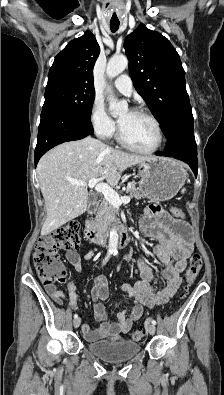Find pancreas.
<instances>
[{"label": "pancreas", "mask_w": 224, "mask_h": 395, "mask_svg": "<svg viewBox=\"0 0 224 395\" xmlns=\"http://www.w3.org/2000/svg\"><path fill=\"white\" fill-rule=\"evenodd\" d=\"M125 192L129 194V197L135 198L136 200H139L143 197L134 184H131L130 187L126 188ZM94 213L95 219L93 221V227L100 228L103 226H108L115 221L116 208L106 199H104L97 205Z\"/></svg>", "instance_id": "obj_1"}]
</instances>
